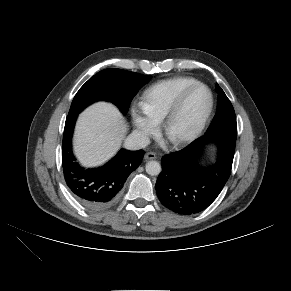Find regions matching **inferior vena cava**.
<instances>
[{
    "label": "inferior vena cava",
    "instance_id": "inferior-vena-cava-1",
    "mask_svg": "<svg viewBox=\"0 0 291 291\" xmlns=\"http://www.w3.org/2000/svg\"><path fill=\"white\" fill-rule=\"evenodd\" d=\"M150 144V139L140 131H133L125 140V147L130 150L145 148Z\"/></svg>",
    "mask_w": 291,
    "mask_h": 291
}]
</instances>
